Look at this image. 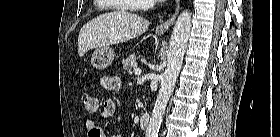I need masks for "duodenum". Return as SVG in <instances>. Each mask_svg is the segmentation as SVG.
Here are the masks:
<instances>
[{
    "label": "duodenum",
    "mask_w": 280,
    "mask_h": 137,
    "mask_svg": "<svg viewBox=\"0 0 280 137\" xmlns=\"http://www.w3.org/2000/svg\"><path fill=\"white\" fill-rule=\"evenodd\" d=\"M149 122H150V116L148 113H143L140 115V118H139V127L141 129H147L148 125H149Z\"/></svg>",
    "instance_id": "410a0bca"
}]
</instances>
